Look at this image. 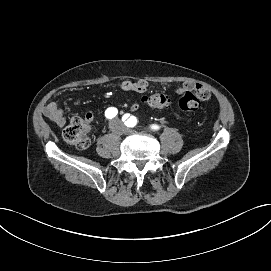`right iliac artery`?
<instances>
[{"label": "right iliac artery", "mask_w": 271, "mask_h": 271, "mask_svg": "<svg viewBox=\"0 0 271 271\" xmlns=\"http://www.w3.org/2000/svg\"><path fill=\"white\" fill-rule=\"evenodd\" d=\"M118 111L116 108L114 107H110L105 111V116L109 119H112L113 117H115L117 115Z\"/></svg>", "instance_id": "1"}]
</instances>
